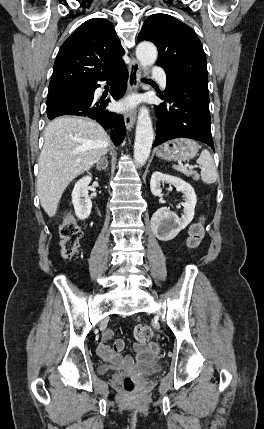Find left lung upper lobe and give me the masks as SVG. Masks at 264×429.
Wrapping results in <instances>:
<instances>
[{
  "label": "left lung upper lobe",
  "instance_id": "obj_1",
  "mask_svg": "<svg viewBox=\"0 0 264 429\" xmlns=\"http://www.w3.org/2000/svg\"><path fill=\"white\" fill-rule=\"evenodd\" d=\"M142 40L157 46V65L166 73L208 91L205 53L189 26L170 15L153 14L145 20L138 35V41Z\"/></svg>",
  "mask_w": 264,
  "mask_h": 429
}]
</instances>
